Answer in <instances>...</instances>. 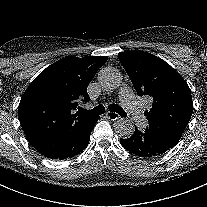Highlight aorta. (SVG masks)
<instances>
[{
	"mask_svg": "<svg viewBox=\"0 0 207 207\" xmlns=\"http://www.w3.org/2000/svg\"><path fill=\"white\" fill-rule=\"evenodd\" d=\"M98 81L105 90H114L121 85L122 75L115 68L105 67L99 71ZM114 129L116 134L123 139L130 138L135 131L133 123L125 118L117 120Z\"/></svg>",
	"mask_w": 207,
	"mask_h": 207,
	"instance_id": "762f6f07",
	"label": "aorta"
}]
</instances>
